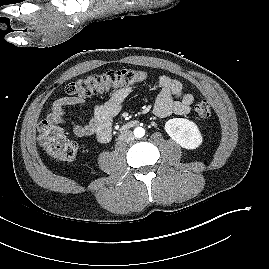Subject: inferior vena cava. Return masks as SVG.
I'll list each match as a JSON object with an SVG mask.
<instances>
[{"label": "inferior vena cava", "mask_w": 269, "mask_h": 269, "mask_svg": "<svg viewBox=\"0 0 269 269\" xmlns=\"http://www.w3.org/2000/svg\"><path fill=\"white\" fill-rule=\"evenodd\" d=\"M133 138H134L133 132L130 130H125L121 132V134L119 135V140L124 142L131 141Z\"/></svg>", "instance_id": "602c4592"}]
</instances>
